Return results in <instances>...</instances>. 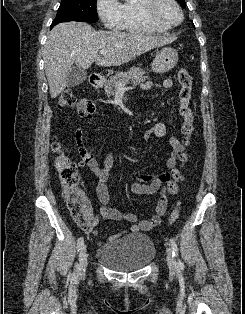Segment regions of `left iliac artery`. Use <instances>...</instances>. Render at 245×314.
<instances>
[{
	"mask_svg": "<svg viewBox=\"0 0 245 314\" xmlns=\"http://www.w3.org/2000/svg\"><path fill=\"white\" fill-rule=\"evenodd\" d=\"M170 243H171V248H172V255H173V257L178 259V246H177L175 240L171 239ZM178 265L180 266V268H183V266H184L183 263L179 259H178Z\"/></svg>",
	"mask_w": 245,
	"mask_h": 314,
	"instance_id": "obj_1",
	"label": "left iliac artery"
}]
</instances>
